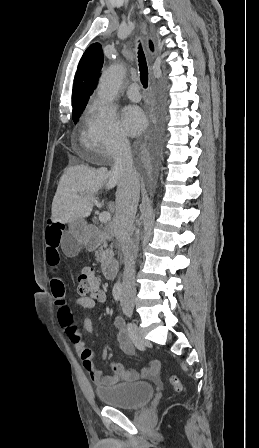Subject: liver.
I'll return each instance as SVG.
<instances>
[{"mask_svg": "<svg viewBox=\"0 0 259 448\" xmlns=\"http://www.w3.org/2000/svg\"><path fill=\"white\" fill-rule=\"evenodd\" d=\"M115 174L108 172L107 168H86V166H73L67 168L60 178L57 192L52 202V222L72 224L80 218H88L93 210L91 196H78V192L96 194L101 188L111 190L116 182ZM118 192V190H117ZM116 192V196H117ZM111 212L114 206L109 204Z\"/></svg>", "mask_w": 259, "mask_h": 448, "instance_id": "6515ba94", "label": "liver"}]
</instances>
